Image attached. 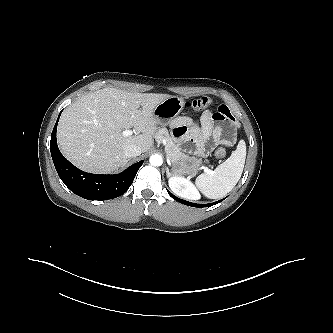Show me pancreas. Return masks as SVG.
Returning a JSON list of instances; mask_svg holds the SVG:
<instances>
[{
    "mask_svg": "<svg viewBox=\"0 0 333 333\" xmlns=\"http://www.w3.org/2000/svg\"><path fill=\"white\" fill-rule=\"evenodd\" d=\"M155 138L157 141H162L163 139L166 141L165 151L167 157L172 162L178 161L185 156V154L180 151V141L172 138L166 128L160 129L155 135Z\"/></svg>",
    "mask_w": 333,
    "mask_h": 333,
    "instance_id": "pancreas-1",
    "label": "pancreas"
}]
</instances>
